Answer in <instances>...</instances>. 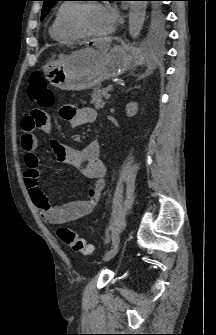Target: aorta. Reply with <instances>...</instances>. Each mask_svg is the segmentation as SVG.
Returning <instances> with one entry per match:
<instances>
[{
	"mask_svg": "<svg viewBox=\"0 0 216 335\" xmlns=\"http://www.w3.org/2000/svg\"><path fill=\"white\" fill-rule=\"evenodd\" d=\"M147 4L144 1H132L129 11V33L132 38L139 35L145 20Z\"/></svg>",
	"mask_w": 216,
	"mask_h": 335,
	"instance_id": "obj_1",
	"label": "aorta"
}]
</instances>
